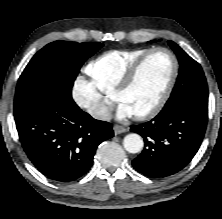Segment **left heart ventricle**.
I'll return each mask as SVG.
<instances>
[{
    "label": "left heart ventricle",
    "instance_id": "obj_1",
    "mask_svg": "<svg viewBox=\"0 0 222 219\" xmlns=\"http://www.w3.org/2000/svg\"><path fill=\"white\" fill-rule=\"evenodd\" d=\"M172 70V60L165 52L150 55L140 67L132 86L119 97L134 113L153 107L161 97Z\"/></svg>",
    "mask_w": 222,
    "mask_h": 219
}]
</instances>
